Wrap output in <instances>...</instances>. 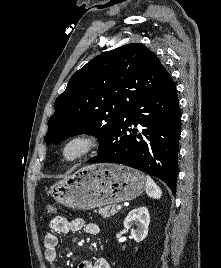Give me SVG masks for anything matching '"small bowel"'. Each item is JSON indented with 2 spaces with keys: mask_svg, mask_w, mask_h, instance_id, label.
I'll use <instances>...</instances> for the list:
<instances>
[{
  "mask_svg": "<svg viewBox=\"0 0 221 268\" xmlns=\"http://www.w3.org/2000/svg\"><path fill=\"white\" fill-rule=\"evenodd\" d=\"M85 230L88 234L98 235L100 228L95 223H86L82 218L68 220L65 217L57 216L49 222V232L44 238V256L50 268H61L58 262V234H68ZM78 268H111L109 262L100 257L94 263L83 261Z\"/></svg>",
  "mask_w": 221,
  "mask_h": 268,
  "instance_id": "c3829d8e",
  "label": "small bowel"
}]
</instances>
